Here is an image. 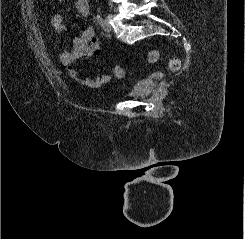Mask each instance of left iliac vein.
Returning <instances> with one entry per match:
<instances>
[{"label":"left iliac vein","instance_id":"left-iliac-vein-1","mask_svg":"<svg viewBox=\"0 0 245 239\" xmlns=\"http://www.w3.org/2000/svg\"><path fill=\"white\" fill-rule=\"evenodd\" d=\"M101 27L104 32H107V33L111 32V26L107 20H103L101 22Z\"/></svg>","mask_w":245,"mask_h":239}]
</instances>
